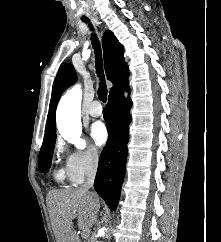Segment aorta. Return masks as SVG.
<instances>
[{"label": "aorta", "mask_w": 221, "mask_h": 242, "mask_svg": "<svg viewBox=\"0 0 221 242\" xmlns=\"http://www.w3.org/2000/svg\"><path fill=\"white\" fill-rule=\"evenodd\" d=\"M81 100V86L75 85L61 98L56 113L60 134L66 140L74 142L79 148L84 147V143L80 139L82 133ZM105 231V228L101 229L100 234L104 236Z\"/></svg>", "instance_id": "762f6f07"}]
</instances>
